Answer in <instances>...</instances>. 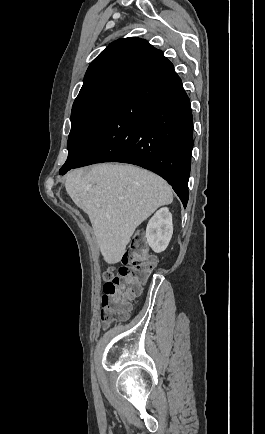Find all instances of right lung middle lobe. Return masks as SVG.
Returning a JSON list of instances; mask_svg holds the SVG:
<instances>
[{
  "mask_svg": "<svg viewBox=\"0 0 265 434\" xmlns=\"http://www.w3.org/2000/svg\"><path fill=\"white\" fill-rule=\"evenodd\" d=\"M133 77L116 74L82 86L72 107L69 154L60 173L74 166L86 153Z\"/></svg>",
  "mask_w": 265,
  "mask_h": 434,
  "instance_id": "right-lung-middle-lobe-1",
  "label": "right lung middle lobe"
}]
</instances>
